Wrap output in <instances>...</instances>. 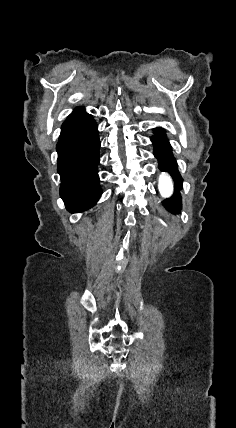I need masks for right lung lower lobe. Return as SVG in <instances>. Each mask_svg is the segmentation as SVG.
<instances>
[{
    "instance_id": "obj_1",
    "label": "right lung lower lobe",
    "mask_w": 236,
    "mask_h": 428,
    "mask_svg": "<svg viewBox=\"0 0 236 428\" xmlns=\"http://www.w3.org/2000/svg\"><path fill=\"white\" fill-rule=\"evenodd\" d=\"M100 140L98 127L82 107L65 120L57 144L60 196L72 213L85 211L98 201Z\"/></svg>"
}]
</instances>
